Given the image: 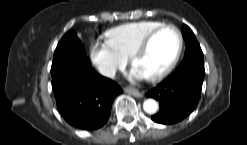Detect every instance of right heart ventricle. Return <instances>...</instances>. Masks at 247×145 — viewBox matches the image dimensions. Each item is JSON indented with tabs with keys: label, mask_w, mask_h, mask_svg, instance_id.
Here are the masks:
<instances>
[{
	"label": "right heart ventricle",
	"mask_w": 247,
	"mask_h": 145,
	"mask_svg": "<svg viewBox=\"0 0 247 145\" xmlns=\"http://www.w3.org/2000/svg\"><path fill=\"white\" fill-rule=\"evenodd\" d=\"M159 21H137L124 23L106 32L108 41L126 58L153 29L162 25Z\"/></svg>",
	"instance_id": "right-heart-ventricle-1"
}]
</instances>
